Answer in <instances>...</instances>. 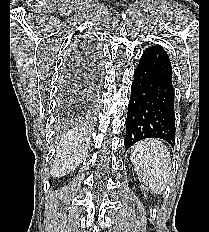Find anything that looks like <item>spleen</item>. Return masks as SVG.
I'll use <instances>...</instances> for the list:
<instances>
[{
  "label": "spleen",
  "mask_w": 209,
  "mask_h": 232,
  "mask_svg": "<svg viewBox=\"0 0 209 232\" xmlns=\"http://www.w3.org/2000/svg\"><path fill=\"white\" fill-rule=\"evenodd\" d=\"M131 162L136 174L154 192L163 191L170 177V153L157 139H147L132 147Z\"/></svg>",
  "instance_id": "3e777b00"
}]
</instances>
